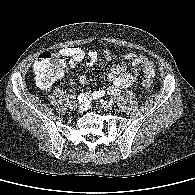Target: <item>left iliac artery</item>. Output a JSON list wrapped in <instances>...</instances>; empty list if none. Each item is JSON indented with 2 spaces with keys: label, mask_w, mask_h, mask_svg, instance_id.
<instances>
[{
  "label": "left iliac artery",
  "mask_w": 195,
  "mask_h": 195,
  "mask_svg": "<svg viewBox=\"0 0 195 195\" xmlns=\"http://www.w3.org/2000/svg\"><path fill=\"white\" fill-rule=\"evenodd\" d=\"M110 103H115V100H113V99H112V100H110Z\"/></svg>",
  "instance_id": "44dca946"
}]
</instances>
